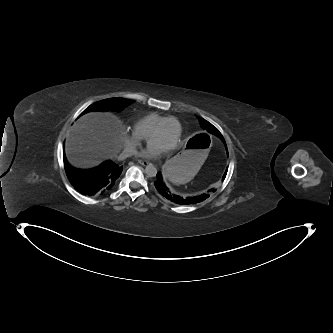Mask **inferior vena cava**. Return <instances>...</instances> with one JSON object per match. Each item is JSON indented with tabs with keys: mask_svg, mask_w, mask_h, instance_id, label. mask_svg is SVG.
<instances>
[{
	"mask_svg": "<svg viewBox=\"0 0 333 333\" xmlns=\"http://www.w3.org/2000/svg\"><path fill=\"white\" fill-rule=\"evenodd\" d=\"M137 154V150L134 147H126L119 156L120 160H123L129 156Z\"/></svg>",
	"mask_w": 333,
	"mask_h": 333,
	"instance_id": "obj_1",
	"label": "inferior vena cava"
}]
</instances>
